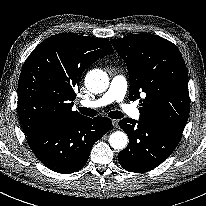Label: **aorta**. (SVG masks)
Segmentation results:
<instances>
[{"label": "aorta", "instance_id": "762f6f07", "mask_svg": "<svg viewBox=\"0 0 206 206\" xmlns=\"http://www.w3.org/2000/svg\"><path fill=\"white\" fill-rule=\"evenodd\" d=\"M87 89L95 94L106 91L109 85L108 75L99 69L91 70L85 77ZM109 143L116 150H123L128 144V137L122 131H116L110 135Z\"/></svg>", "mask_w": 206, "mask_h": 206}]
</instances>
